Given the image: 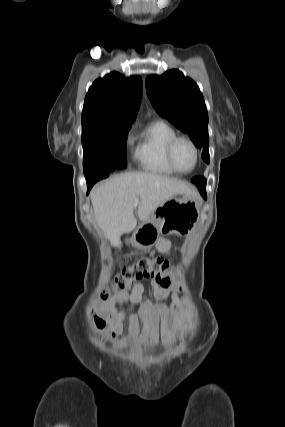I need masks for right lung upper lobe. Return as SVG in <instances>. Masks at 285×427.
<instances>
[{
	"instance_id": "cb5924a9",
	"label": "right lung upper lobe",
	"mask_w": 285,
	"mask_h": 427,
	"mask_svg": "<svg viewBox=\"0 0 285 427\" xmlns=\"http://www.w3.org/2000/svg\"><path fill=\"white\" fill-rule=\"evenodd\" d=\"M142 98L139 76L125 78L112 72L97 79L86 95L82 123H132Z\"/></svg>"
}]
</instances>
